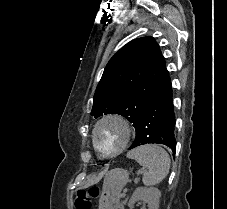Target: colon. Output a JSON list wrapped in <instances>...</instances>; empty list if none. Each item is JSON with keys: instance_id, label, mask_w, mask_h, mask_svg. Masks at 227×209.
Returning <instances> with one entry per match:
<instances>
[{"instance_id": "5ec220e1", "label": "colon", "mask_w": 227, "mask_h": 209, "mask_svg": "<svg viewBox=\"0 0 227 209\" xmlns=\"http://www.w3.org/2000/svg\"><path fill=\"white\" fill-rule=\"evenodd\" d=\"M98 193L99 189L96 187L78 190L74 200V208L92 209L93 201L97 198Z\"/></svg>"}]
</instances>
